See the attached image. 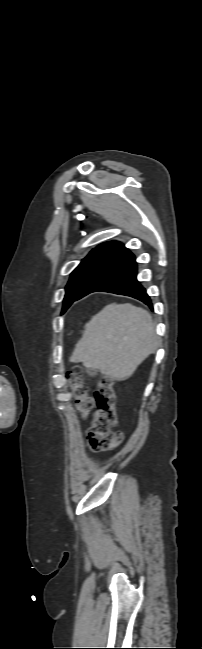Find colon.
<instances>
[{
	"label": "colon",
	"mask_w": 202,
	"mask_h": 649,
	"mask_svg": "<svg viewBox=\"0 0 202 649\" xmlns=\"http://www.w3.org/2000/svg\"><path fill=\"white\" fill-rule=\"evenodd\" d=\"M70 386L74 394L77 412L82 418L89 415L96 407L92 424L87 433L89 446L94 451H109L121 444L123 435L113 431L117 425L116 392L114 382L105 378L101 380L95 390L94 397L87 393V389L76 374H70Z\"/></svg>",
	"instance_id": "obj_1"
}]
</instances>
